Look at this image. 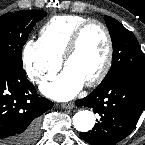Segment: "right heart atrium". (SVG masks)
<instances>
[{"mask_svg":"<svg viewBox=\"0 0 145 145\" xmlns=\"http://www.w3.org/2000/svg\"><path fill=\"white\" fill-rule=\"evenodd\" d=\"M22 59L28 77L37 84L51 80L61 66V59L45 51L39 41L26 42L22 51Z\"/></svg>","mask_w":145,"mask_h":145,"instance_id":"d8ad5b80","label":"right heart atrium"}]
</instances>
